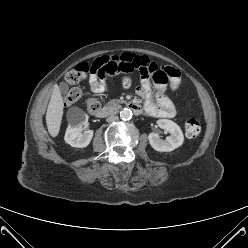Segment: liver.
<instances>
[{
  "label": "liver",
  "instance_id": "1",
  "mask_svg": "<svg viewBox=\"0 0 248 248\" xmlns=\"http://www.w3.org/2000/svg\"><path fill=\"white\" fill-rule=\"evenodd\" d=\"M63 109L64 101L58 85H55L46 112V124L52 137H56L59 134Z\"/></svg>",
  "mask_w": 248,
  "mask_h": 248
}]
</instances>
